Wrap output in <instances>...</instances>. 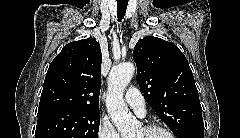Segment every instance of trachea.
I'll return each instance as SVG.
<instances>
[{"label":"trachea","mask_w":240,"mask_h":138,"mask_svg":"<svg viewBox=\"0 0 240 138\" xmlns=\"http://www.w3.org/2000/svg\"><path fill=\"white\" fill-rule=\"evenodd\" d=\"M127 4H119L117 5V17L118 21L121 22V20L124 18V15L126 13Z\"/></svg>","instance_id":"1"}]
</instances>
